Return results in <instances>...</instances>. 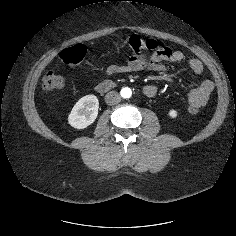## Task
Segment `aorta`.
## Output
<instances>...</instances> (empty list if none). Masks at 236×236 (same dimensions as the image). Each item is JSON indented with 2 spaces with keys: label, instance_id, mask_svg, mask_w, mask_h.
Masks as SVG:
<instances>
[{
  "label": "aorta",
  "instance_id": "obj_1",
  "mask_svg": "<svg viewBox=\"0 0 236 236\" xmlns=\"http://www.w3.org/2000/svg\"><path fill=\"white\" fill-rule=\"evenodd\" d=\"M120 94L123 98H130L132 95V91L130 88L125 87L121 89Z\"/></svg>",
  "mask_w": 236,
  "mask_h": 236
}]
</instances>
